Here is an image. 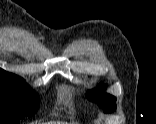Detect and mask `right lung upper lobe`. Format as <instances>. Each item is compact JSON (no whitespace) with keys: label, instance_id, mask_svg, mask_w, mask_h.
I'll use <instances>...</instances> for the list:
<instances>
[{"label":"right lung upper lobe","instance_id":"right-lung-upper-lobe-1","mask_svg":"<svg viewBox=\"0 0 156 124\" xmlns=\"http://www.w3.org/2000/svg\"><path fill=\"white\" fill-rule=\"evenodd\" d=\"M0 77H12V78H17V79H22L21 77L14 75L12 73H8L1 68H0Z\"/></svg>","mask_w":156,"mask_h":124}]
</instances>
